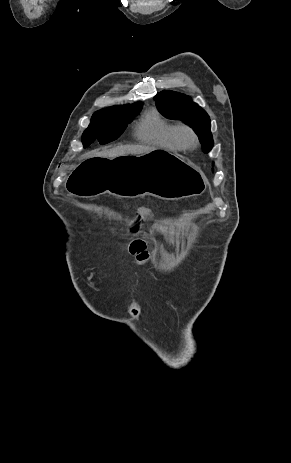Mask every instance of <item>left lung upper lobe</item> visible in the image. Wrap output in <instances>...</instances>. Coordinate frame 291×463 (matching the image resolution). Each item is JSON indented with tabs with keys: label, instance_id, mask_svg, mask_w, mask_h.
<instances>
[{
	"label": "left lung upper lobe",
	"instance_id": "5c2ea615",
	"mask_svg": "<svg viewBox=\"0 0 291 463\" xmlns=\"http://www.w3.org/2000/svg\"><path fill=\"white\" fill-rule=\"evenodd\" d=\"M158 110L169 119L182 120L193 128L198 135L204 152L213 147L210 131L211 124L208 114L198 104L192 102L189 96L174 91H161L155 97Z\"/></svg>",
	"mask_w": 291,
	"mask_h": 463
}]
</instances>
